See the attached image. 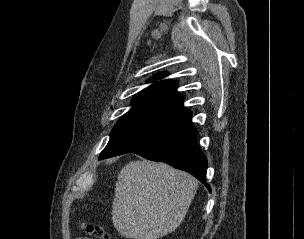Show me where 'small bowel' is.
I'll use <instances>...</instances> for the list:
<instances>
[{"label": "small bowel", "instance_id": "small-bowel-1", "mask_svg": "<svg viewBox=\"0 0 304 239\" xmlns=\"http://www.w3.org/2000/svg\"><path fill=\"white\" fill-rule=\"evenodd\" d=\"M76 239H90L88 237H80V238H76Z\"/></svg>", "mask_w": 304, "mask_h": 239}]
</instances>
